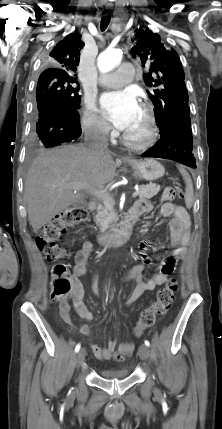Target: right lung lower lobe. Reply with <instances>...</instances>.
Segmentation results:
<instances>
[{
    "mask_svg": "<svg viewBox=\"0 0 222 429\" xmlns=\"http://www.w3.org/2000/svg\"><path fill=\"white\" fill-rule=\"evenodd\" d=\"M36 133L45 147L70 142L81 135L77 108L61 99L49 101L38 112Z\"/></svg>",
    "mask_w": 222,
    "mask_h": 429,
    "instance_id": "1",
    "label": "right lung lower lobe"
}]
</instances>
